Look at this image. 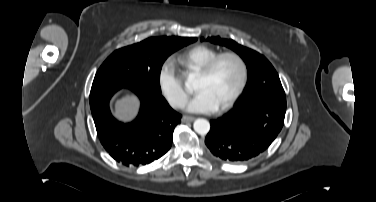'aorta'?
<instances>
[{
	"instance_id": "aorta-1",
	"label": "aorta",
	"mask_w": 376,
	"mask_h": 202,
	"mask_svg": "<svg viewBox=\"0 0 376 202\" xmlns=\"http://www.w3.org/2000/svg\"><path fill=\"white\" fill-rule=\"evenodd\" d=\"M194 130L200 135H206L210 130V123L206 119H196L193 124Z\"/></svg>"
}]
</instances>
